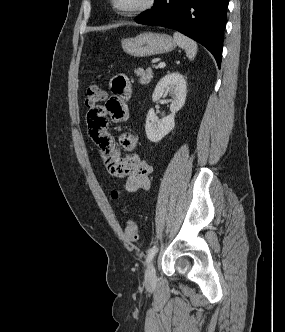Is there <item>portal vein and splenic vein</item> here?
I'll return each instance as SVG.
<instances>
[{"label":"portal vein and splenic vein","mask_w":285,"mask_h":332,"mask_svg":"<svg viewBox=\"0 0 285 332\" xmlns=\"http://www.w3.org/2000/svg\"><path fill=\"white\" fill-rule=\"evenodd\" d=\"M166 66V64L164 62H160L156 68H164Z\"/></svg>","instance_id":"obj_1"}]
</instances>
